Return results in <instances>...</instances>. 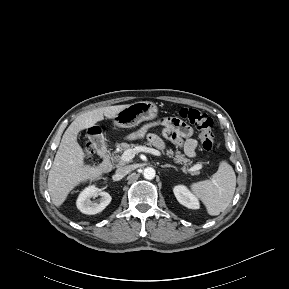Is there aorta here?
Instances as JSON below:
<instances>
[{
  "label": "aorta",
  "instance_id": "aorta-1",
  "mask_svg": "<svg viewBox=\"0 0 289 289\" xmlns=\"http://www.w3.org/2000/svg\"><path fill=\"white\" fill-rule=\"evenodd\" d=\"M155 170L152 167H147L143 170V176L147 180H152L155 177Z\"/></svg>",
  "mask_w": 289,
  "mask_h": 289
}]
</instances>
